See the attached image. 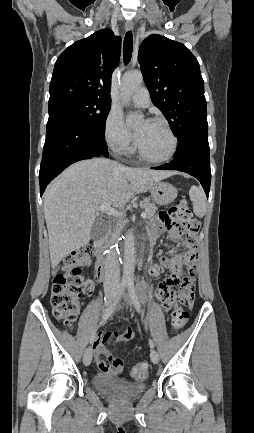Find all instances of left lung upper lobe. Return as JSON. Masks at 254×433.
I'll list each match as a JSON object with an SVG mask.
<instances>
[{
	"label": "left lung upper lobe",
	"mask_w": 254,
	"mask_h": 433,
	"mask_svg": "<svg viewBox=\"0 0 254 433\" xmlns=\"http://www.w3.org/2000/svg\"><path fill=\"white\" fill-rule=\"evenodd\" d=\"M138 61L152 102L169 121L178 147L192 138L208 137L204 81L189 49L152 34L142 42Z\"/></svg>",
	"instance_id": "obj_1"
}]
</instances>
